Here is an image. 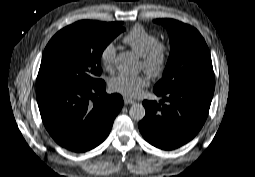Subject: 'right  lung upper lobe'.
<instances>
[{
  "instance_id": "1",
  "label": "right lung upper lobe",
  "mask_w": 255,
  "mask_h": 177,
  "mask_svg": "<svg viewBox=\"0 0 255 177\" xmlns=\"http://www.w3.org/2000/svg\"><path fill=\"white\" fill-rule=\"evenodd\" d=\"M106 24H108L109 26H116L118 22H112V23H106Z\"/></svg>"
}]
</instances>
